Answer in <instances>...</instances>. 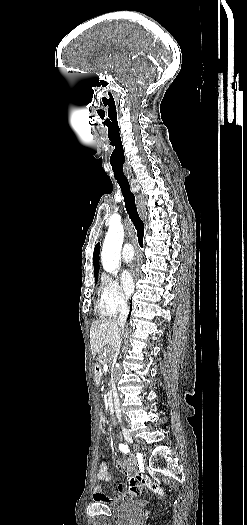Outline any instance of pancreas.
Listing matches in <instances>:
<instances>
[{"instance_id": "pancreas-1", "label": "pancreas", "mask_w": 247, "mask_h": 525, "mask_svg": "<svg viewBox=\"0 0 247 525\" xmlns=\"http://www.w3.org/2000/svg\"><path fill=\"white\" fill-rule=\"evenodd\" d=\"M96 358H98V364H103V358H101V355H96Z\"/></svg>"}]
</instances>
